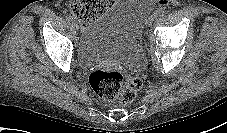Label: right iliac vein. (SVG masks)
Segmentation results:
<instances>
[{"mask_svg": "<svg viewBox=\"0 0 227 133\" xmlns=\"http://www.w3.org/2000/svg\"><path fill=\"white\" fill-rule=\"evenodd\" d=\"M72 23H73L74 27L78 30L79 29L78 23L75 20L72 21Z\"/></svg>", "mask_w": 227, "mask_h": 133, "instance_id": "1", "label": "right iliac vein"}]
</instances>
